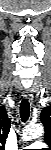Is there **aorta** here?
Instances as JSON below:
<instances>
[{
    "instance_id": "1",
    "label": "aorta",
    "mask_w": 51,
    "mask_h": 150,
    "mask_svg": "<svg viewBox=\"0 0 51 150\" xmlns=\"http://www.w3.org/2000/svg\"><path fill=\"white\" fill-rule=\"evenodd\" d=\"M44 133L43 127L41 125H29L27 126L22 133V141L27 142L31 141L39 136H42Z\"/></svg>"
}]
</instances>
